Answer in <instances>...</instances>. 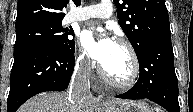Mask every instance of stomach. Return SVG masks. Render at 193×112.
Instances as JSON below:
<instances>
[{
    "label": "stomach",
    "instance_id": "stomach-1",
    "mask_svg": "<svg viewBox=\"0 0 193 112\" xmlns=\"http://www.w3.org/2000/svg\"><path fill=\"white\" fill-rule=\"evenodd\" d=\"M105 112H152L151 108L141 101H109L103 105Z\"/></svg>",
    "mask_w": 193,
    "mask_h": 112
}]
</instances>
